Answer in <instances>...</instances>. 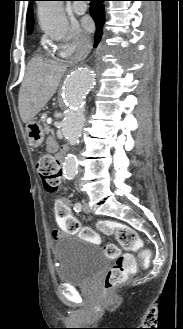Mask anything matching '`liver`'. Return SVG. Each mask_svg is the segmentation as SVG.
I'll return each instance as SVG.
<instances>
[{
  "mask_svg": "<svg viewBox=\"0 0 183 329\" xmlns=\"http://www.w3.org/2000/svg\"><path fill=\"white\" fill-rule=\"evenodd\" d=\"M67 66L37 56L28 63L19 90L22 121H31L55 94Z\"/></svg>",
  "mask_w": 183,
  "mask_h": 329,
  "instance_id": "obj_1",
  "label": "liver"
}]
</instances>
